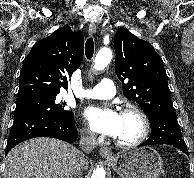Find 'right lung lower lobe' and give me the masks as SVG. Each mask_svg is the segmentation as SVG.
Returning <instances> with one entry per match:
<instances>
[{
  "label": "right lung lower lobe",
  "instance_id": "1",
  "mask_svg": "<svg viewBox=\"0 0 194 178\" xmlns=\"http://www.w3.org/2000/svg\"><path fill=\"white\" fill-rule=\"evenodd\" d=\"M78 132L74 115L54 117L46 113L28 112L14 115L5 154L17 144L35 137H53L66 142H74Z\"/></svg>",
  "mask_w": 194,
  "mask_h": 178
}]
</instances>
